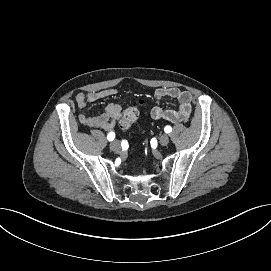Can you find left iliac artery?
<instances>
[{
  "mask_svg": "<svg viewBox=\"0 0 271 271\" xmlns=\"http://www.w3.org/2000/svg\"><path fill=\"white\" fill-rule=\"evenodd\" d=\"M164 131H165L166 133H170V132L172 131L171 126H166V127L164 128Z\"/></svg>",
  "mask_w": 271,
  "mask_h": 271,
  "instance_id": "obj_1",
  "label": "left iliac artery"
}]
</instances>
